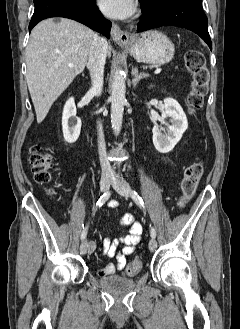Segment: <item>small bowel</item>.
<instances>
[{
  "label": "small bowel",
  "instance_id": "c3829d8e",
  "mask_svg": "<svg viewBox=\"0 0 240 329\" xmlns=\"http://www.w3.org/2000/svg\"><path fill=\"white\" fill-rule=\"evenodd\" d=\"M119 203L115 200L110 201L109 207L117 208ZM120 225L128 227V233L120 239L105 238L102 242V251L108 257H114L115 262L110 263L99 270L101 276H107L121 271L127 263V256L131 255L136 245L141 241L143 234L142 224L136 220L132 214H125L119 220ZM120 246L122 248L120 249ZM96 250V243L89 241L87 251L92 254Z\"/></svg>",
  "mask_w": 240,
  "mask_h": 329
}]
</instances>
